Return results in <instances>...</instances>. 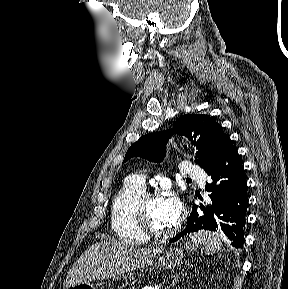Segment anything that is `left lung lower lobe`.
Instances as JSON below:
<instances>
[{"label": "left lung lower lobe", "instance_id": "0a47b994", "mask_svg": "<svg viewBox=\"0 0 288 289\" xmlns=\"http://www.w3.org/2000/svg\"><path fill=\"white\" fill-rule=\"evenodd\" d=\"M205 172L211 178L205 189L209 195L205 199L199 197L203 203L193 206L186 228L170 242L177 241L187 233L206 229L220 231L232 241L234 247L242 248L248 187L243 164L230 138Z\"/></svg>", "mask_w": 288, "mask_h": 289}]
</instances>
